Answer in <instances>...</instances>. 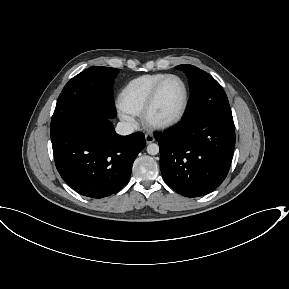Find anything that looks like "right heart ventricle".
I'll list each match as a JSON object with an SVG mask.
<instances>
[{"label": "right heart ventricle", "instance_id": "right-heart-ventricle-1", "mask_svg": "<svg viewBox=\"0 0 289 289\" xmlns=\"http://www.w3.org/2000/svg\"><path fill=\"white\" fill-rule=\"evenodd\" d=\"M166 75L165 73H152L132 79L119 93V106L131 115H140L151 90Z\"/></svg>", "mask_w": 289, "mask_h": 289}]
</instances>
